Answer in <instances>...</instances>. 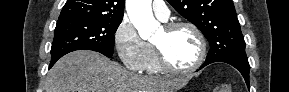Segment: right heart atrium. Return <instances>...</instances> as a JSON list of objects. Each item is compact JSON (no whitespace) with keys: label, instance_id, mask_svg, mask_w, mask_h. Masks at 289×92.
<instances>
[{"label":"right heart atrium","instance_id":"right-heart-atrium-1","mask_svg":"<svg viewBox=\"0 0 289 92\" xmlns=\"http://www.w3.org/2000/svg\"><path fill=\"white\" fill-rule=\"evenodd\" d=\"M114 45L124 66L132 71L144 70L151 46L138 34L135 26L124 18L114 32Z\"/></svg>","mask_w":289,"mask_h":92}]
</instances>
